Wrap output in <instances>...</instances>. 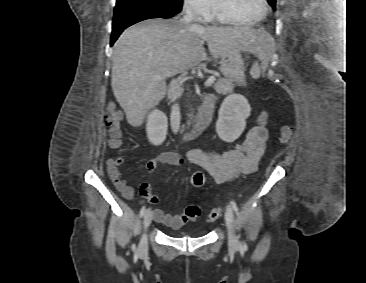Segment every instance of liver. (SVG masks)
Listing matches in <instances>:
<instances>
[{"mask_svg":"<svg viewBox=\"0 0 366 283\" xmlns=\"http://www.w3.org/2000/svg\"><path fill=\"white\" fill-rule=\"evenodd\" d=\"M270 36L249 26L203 27L178 18L148 19L127 28L114 44L111 86L118 103L134 127L165 97L166 77L200 65L203 42L212 57L233 48L263 57Z\"/></svg>","mask_w":366,"mask_h":283,"instance_id":"liver-1","label":"liver"}]
</instances>
